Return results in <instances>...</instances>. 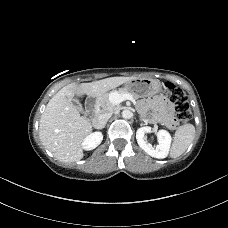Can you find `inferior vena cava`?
I'll list each match as a JSON object with an SVG mask.
<instances>
[{
  "instance_id": "602c4592",
  "label": "inferior vena cava",
  "mask_w": 228,
  "mask_h": 228,
  "mask_svg": "<svg viewBox=\"0 0 228 228\" xmlns=\"http://www.w3.org/2000/svg\"><path fill=\"white\" fill-rule=\"evenodd\" d=\"M110 117H111L110 113H104V114L97 115L92 120L93 127L96 129L104 128Z\"/></svg>"
}]
</instances>
